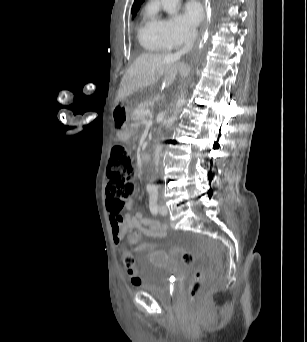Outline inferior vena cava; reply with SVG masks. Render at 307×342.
Here are the masks:
<instances>
[{"instance_id": "1", "label": "inferior vena cava", "mask_w": 307, "mask_h": 342, "mask_svg": "<svg viewBox=\"0 0 307 342\" xmlns=\"http://www.w3.org/2000/svg\"><path fill=\"white\" fill-rule=\"evenodd\" d=\"M196 38H197L196 30H190V32H188V34L185 38L184 48H181V50H179V52H177L178 56H184V54H189V52H191V50L194 46V42H195ZM189 72H190V68H185V70H181V72H180L181 78H187ZM160 152H161V148H156L155 156H154V164H155L156 168H157V166H159Z\"/></svg>"}]
</instances>
